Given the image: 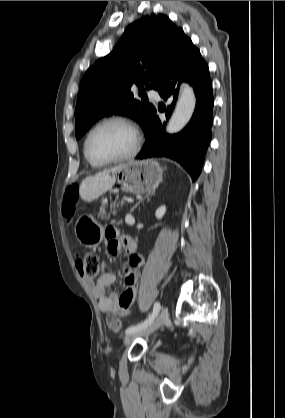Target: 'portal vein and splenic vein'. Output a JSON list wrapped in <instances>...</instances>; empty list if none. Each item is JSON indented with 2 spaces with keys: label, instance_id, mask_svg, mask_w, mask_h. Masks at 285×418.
<instances>
[{
  "label": "portal vein and splenic vein",
  "instance_id": "1",
  "mask_svg": "<svg viewBox=\"0 0 285 418\" xmlns=\"http://www.w3.org/2000/svg\"><path fill=\"white\" fill-rule=\"evenodd\" d=\"M123 200H126V201H128V202H133L134 200L133 199H131V198H124Z\"/></svg>",
  "mask_w": 285,
  "mask_h": 418
}]
</instances>
